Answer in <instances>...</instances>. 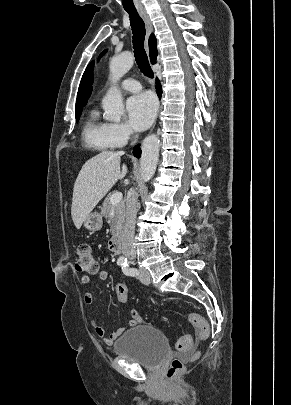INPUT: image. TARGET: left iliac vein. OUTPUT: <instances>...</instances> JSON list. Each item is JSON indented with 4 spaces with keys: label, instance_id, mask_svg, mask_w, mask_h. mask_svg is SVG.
I'll return each mask as SVG.
<instances>
[{
    "label": "left iliac vein",
    "instance_id": "obj_1",
    "mask_svg": "<svg viewBox=\"0 0 291 405\" xmlns=\"http://www.w3.org/2000/svg\"><path fill=\"white\" fill-rule=\"evenodd\" d=\"M138 279L148 285L151 282L150 273L145 268H139Z\"/></svg>",
    "mask_w": 291,
    "mask_h": 405
}]
</instances>
